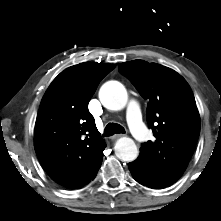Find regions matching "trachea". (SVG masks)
Returning a JSON list of instances; mask_svg holds the SVG:
<instances>
[{
	"mask_svg": "<svg viewBox=\"0 0 221 221\" xmlns=\"http://www.w3.org/2000/svg\"><path fill=\"white\" fill-rule=\"evenodd\" d=\"M120 133H125V129L117 124V123H109L106 125L105 130H104V136L109 137L114 134H120Z\"/></svg>",
	"mask_w": 221,
	"mask_h": 221,
	"instance_id": "1",
	"label": "trachea"
}]
</instances>
